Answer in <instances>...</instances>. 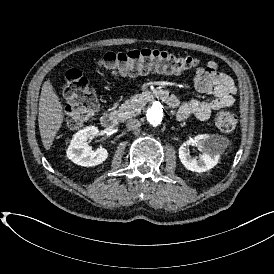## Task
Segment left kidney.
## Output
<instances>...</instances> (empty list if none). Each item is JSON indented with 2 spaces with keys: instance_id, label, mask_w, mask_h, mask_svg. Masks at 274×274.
Segmentation results:
<instances>
[{
  "instance_id": "obj_1",
  "label": "left kidney",
  "mask_w": 274,
  "mask_h": 274,
  "mask_svg": "<svg viewBox=\"0 0 274 274\" xmlns=\"http://www.w3.org/2000/svg\"><path fill=\"white\" fill-rule=\"evenodd\" d=\"M186 145L202 150L199 158L191 157ZM226 148L225 139L219 135L200 134L179 147V159L184 167L193 172H205L213 168Z\"/></svg>"
}]
</instances>
